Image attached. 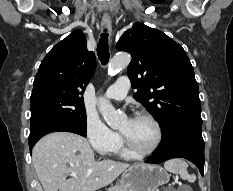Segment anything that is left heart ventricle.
I'll return each mask as SVG.
<instances>
[{
	"instance_id": "obj_1",
	"label": "left heart ventricle",
	"mask_w": 233,
	"mask_h": 191,
	"mask_svg": "<svg viewBox=\"0 0 233 191\" xmlns=\"http://www.w3.org/2000/svg\"><path fill=\"white\" fill-rule=\"evenodd\" d=\"M120 131L142 151L150 149L156 140V129L146 119H126L121 124Z\"/></svg>"
}]
</instances>
